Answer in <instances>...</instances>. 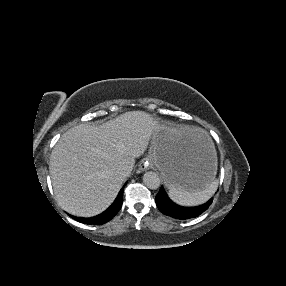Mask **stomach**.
Returning <instances> with one entry per match:
<instances>
[{
    "label": "stomach",
    "instance_id": "1",
    "mask_svg": "<svg viewBox=\"0 0 286 286\" xmlns=\"http://www.w3.org/2000/svg\"><path fill=\"white\" fill-rule=\"evenodd\" d=\"M151 159L169 187L203 190L217 173V154L211 139L177 123L161 126L152 140Z\"/></svg>",
    "mask_w": 286,
    "mask_h": 286
}]
</instances>
